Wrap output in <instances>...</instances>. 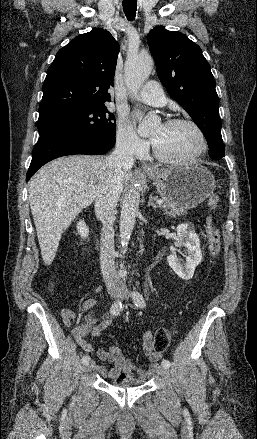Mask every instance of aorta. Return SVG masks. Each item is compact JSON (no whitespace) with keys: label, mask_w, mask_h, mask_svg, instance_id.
<instances>
[{"label":"aorta","mask_w":257,"mask_h":439,"mask_svg":"<svg viewBox=\"0 0 257 439\" xmlns=\"http://www.w3.org/2000/svg\"><path fill=\"white\" fill-rule=\"evenodd\" d=\"M152 68L153 61L150 56L139 54L129 55L124 68V79L126 86L132 92H137L149 77ZM155 120V116H147L138 126L139 134H147ZM139 204L140 192L136 187H134L126 194L120 215V239L124 249H126L133 231L136 216L139 213ZM119 274L121 277H124L126 272L124 270H120Z\"/></svg>","instance_id":"762f6f07"}]
</instances>
